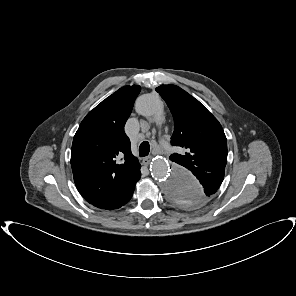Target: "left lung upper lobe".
I'll use <instances>...</instances> for the list:
<instances>
[{"label": "left lung upper lobe", "mask_w": 296, "mask_h": 296, "mask_svg": "<svg viewBox=\"0 0 296 296\" xmlns=\"http://www.w3.org/2000/svg\"><path fill=\"white\" fill-rule=\"evenodd\" d=\"M156 91L174 118L171 143L186 151L184 155L172 154L170 160L189 169L202 184L197 191L176 190L170 198L178 206L197 208L212 198V187L224 177L226 136L218 120L186 91L175 85H162Z\"/></svg>", "instance_id": "5c2ea615"}]
</instances>
